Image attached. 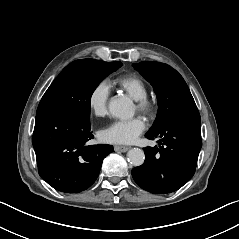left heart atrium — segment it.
<instances>
[{
	"label": "left heart atrium",
	"mask_w": 239,
	"mask_h": 239,
	"mask_svg": "<svg viewBox=\"0 0 239 239\" xmlns=\"http://www.w3.org/2000/svg\"><path fill=\"white\" fill-rule=\"evenodd\" d=\"M146 121L141 116L131 119H115L109 126L100 132L104 142L115 144H131L143 133Z\"/></svg>",
	"instance_id": "39dd6f15"
}]
</instances>
